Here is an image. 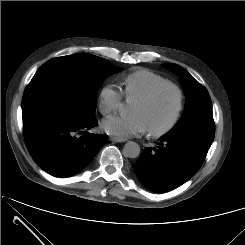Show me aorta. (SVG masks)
I'll return each mask as SVG.
<instances>
[{
  "instance_id": "aorta-1",
  "label": "aorta",
  "mask_w": 245,
  "mask_h": 245,
  "mask_svg": "<svg viewBox=\"0 0 245 245\" xmlns=\"http://www.w3.org/2000/svg\"><path fill=\"white\" fill-rule=\"evenodd\" d=\"M140 154V146L133 141H129L124 145L123 155L128 158H136Z\"/></svg>"
}]
</instances>
